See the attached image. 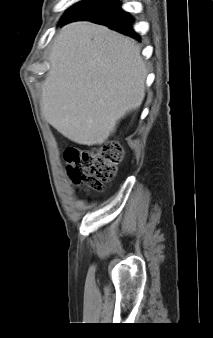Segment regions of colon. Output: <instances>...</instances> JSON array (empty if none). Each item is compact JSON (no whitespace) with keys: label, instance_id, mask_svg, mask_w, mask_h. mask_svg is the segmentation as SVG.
<instances>
[{"label":"colon","instance_id":"5ec220e1","mask_svg":"<svg viewBox=\"0 0 213 338\" xmlns=\"http://www.w3.org/2000/svg\"><path fill=\"white\" fill-rule=\"evenodd\" d=\"M67 172L74 186L84 184L102 191L116 177L123 158L120 144L109 141L96 148L70 147L64 151Z\"/></svg>","mask_w":213,"mask_h":338}]
</instances>
